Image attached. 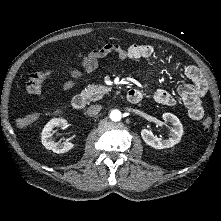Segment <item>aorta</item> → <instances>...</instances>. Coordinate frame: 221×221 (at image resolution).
<instances>
[{
	"mask_svg": "<svg viewBox=\"0 0 221 221\" xmlns=\"http://www.w3.org/2000/svg\"><path fill=\"white\" fill-rule=\"evenodd\" d=\"M121 117H122V115H121V112L119 110H112L110 112V118H111L112 121H115V122L120 121Z\"/></svg>",
	"mask_w": 221,
	"mask_h": 221,
	"instance_id": "762f6f07",
	"label": "aorta"
}]
</instances>
